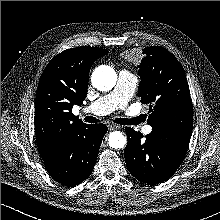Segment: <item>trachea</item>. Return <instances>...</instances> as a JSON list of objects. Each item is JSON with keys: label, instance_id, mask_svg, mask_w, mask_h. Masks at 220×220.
I'll return each instance as SVG.
<instances>
[{"label": "trachea", "instance_id": "3493384b", "mask_svg": "<svg viewBox=\"0 0 220 220\" xmlns=\"http://www.w3.org/2000/svg\"><path fill=\"white\" fill-rule=\"evenodd\" d=\"M85 122L97 123V122H100V121L95 117L86 116L85 117ZM114 122L117 123V124H120V125H138L141 122V119L140 118H132V119L116 118L114 120Z\"/></svg>", "mask_w": 220, "mask_h": 220}]
</instances>
